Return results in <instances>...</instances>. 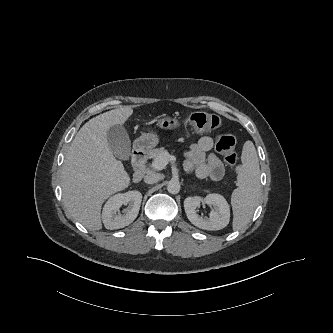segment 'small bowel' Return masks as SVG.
I'll use <instances>...</instances> for the list:
<instances>
[{
	"mask_svg": "<svg viewBox=\"0 0 333 333\" xmlns=\"http://www.w3.org/2000/svg\"><path fill=\"white\" fill-rule=\"evenodd\" d=\"M212 146L213 138L211 136L201 137L186 151L185 167L201 179L210 178L218 181L223 177L224 168L221 161L214 154L206 156Z\"/></svg>",
	"mask_w": 333,
	"mask_h": 333,
	"instance_id": "1",
	"label": "small bowel"
}]
</instances>
